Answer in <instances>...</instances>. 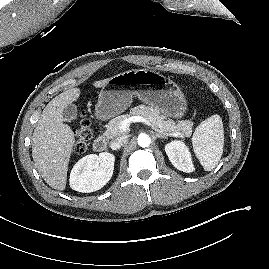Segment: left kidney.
Returning a JSON list of instances; mask_svg holds the SVG:
<instances>
[{"instance_id": "5707ae66", "label": "left kidney", "mask_w": 269, "mask_h": 269, "mask_svg": "<svg viewBox=\"0 0 269 269\" xmlns=\"http://www.w3.org/2000/svg\"><path fill=\"white\" fill-rule=\"evenodd\" d=\"M165 152L172 165L180 171L189 173L194 171L191 154L182 141H173L165 146Z\"/></svg>"}]
</instances>
